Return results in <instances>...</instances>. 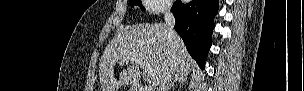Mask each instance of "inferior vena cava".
Wrapping results in <instances>:
<instances>
[{
  "instance_id": "1",
  "label": "inferior vena cava",
  "mask_w": 304,
  "mask_h": 91,
  "mask_svg": "<svg viewBox=\"0 0 304 91\" xmlns=\"http://www.w3.org/2000/svg\"><path fill=\"white\" fill-rule=\"evenodd\" d=\"M164 19L168 30V37L170 41L173 42V40L177 38V34L174 30L175 18L173 14L170 12V6H167L164 10ZM174 75H175V68L172 66L171 69L164 75L160 83L159 91H168Z\"/></svg>"
}]
</instances>
